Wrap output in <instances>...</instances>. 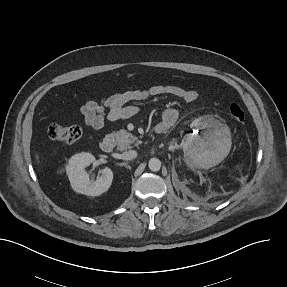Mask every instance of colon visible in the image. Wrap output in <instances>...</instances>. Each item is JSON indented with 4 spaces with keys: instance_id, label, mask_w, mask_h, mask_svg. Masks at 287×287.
<instances>
[{
    "instance_id": "5ec220e1",
    "label": "colon",
    "mask_w": 287,
    "mask_h": 287,
    "mask_svg": "<svg viewBox=\"0 0 287 287\" xmlns=\"http://www.w3.org/2000/svg\"><path fill=\"white\" fill-rule=\"evenodd\" d=\"M230 116L237 122L243 123L245 120V111L238 103H232L229 106ZM81 128L77 125H59L52 124L48 129V135L52 140L63 144H73L81 137Z\"/></svg>"
}]
</instances>
